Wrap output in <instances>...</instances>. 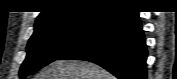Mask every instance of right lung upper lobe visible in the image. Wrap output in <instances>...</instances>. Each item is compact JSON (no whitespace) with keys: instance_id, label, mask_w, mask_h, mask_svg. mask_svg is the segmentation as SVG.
I'll return each instance as SVG.
<instances>
[{"instance_id":"right-lung-upper-lobe-1","label":"right lung upper lobe","mask_w":177,"mask_h":79,"mask_svg":"<svg viewBox=\"0 0 177 79\" xmlns=\"http://www.w3.org/2000/svg\"><path fill=\"white\" fill-rule=\"evenodd\" d=\"M51 3L47 10L40 13L35 22V28L42 25L81 18L92 14H104L114 8L126 6L121 0H57Z\"/></svg>"}]
</instances>
